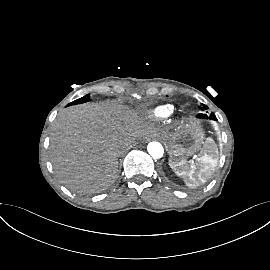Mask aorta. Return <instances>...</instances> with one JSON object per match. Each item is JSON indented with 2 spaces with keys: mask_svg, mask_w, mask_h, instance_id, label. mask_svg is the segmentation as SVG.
Segmentation results:
<instances>
[{
  "mask_svg": "<svg viewBox=\"0 0 270 270\" xmlns=\"http://www.w3.org/2000/svg\"><path fill=\"white\" fill-rule=\"evenodd\" d=\"M147 150L154 159H160L164 154L163 146L159 142H150Z\"/></svg>",
  "mask_w": 270,
  "mask_h": 270,
  "instance_id": "1",
  "label": "aorta"
}]
</instances>
